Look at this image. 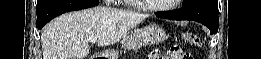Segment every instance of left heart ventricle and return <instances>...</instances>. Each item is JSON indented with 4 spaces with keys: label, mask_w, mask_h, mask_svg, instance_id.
I'll return each instance as SVG.
<instances>
[{
    "label": "left heart ventricle",
    "mask_w": 261,
    "mask_h": 59,
    "mask_svg": "<svg viewBox=\"0 0 261 59\" xmlns=\"http://www.w3.org/2000/svg\"><path fill=\"white\" fill-rule=\"evenodd\" d=\"M173 1L174 0H153V1H148V3L155 6H166L171 4Z\"/></svg>",
    "instance_id": "b2bd125f"
}]
</instances>
